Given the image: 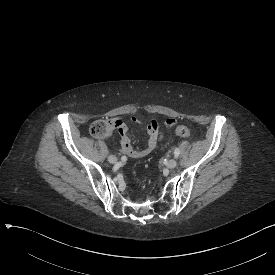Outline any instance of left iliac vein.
Returning <instances> with one entry per match:
<instances>
[{
  "label": "left iliac vein",
  "mask_w": 275,
  "mask_h": 275,
  "mask_svg": "<svg viewBox=\"0 0 275 275\" xmlns=\"http://www.w3.org/2000/svg\"><path fill=\"white\" fill-rule=\"evenodd\" d=\"M177 166V161L175 159H170L166 164L167 169L172 170Z\"/></svg>",
  "instance_id": "obj_1"
}]
</instances>
